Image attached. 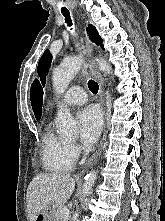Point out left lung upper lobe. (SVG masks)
Listing matches in <instances>:
<instances>
[{
    "instance_id": "5c2ea615",
    "label": "left lung upper lobe",
    "mask_w": 165,
    "mask_h": 221,
    "mask_svg": "<svg viewBox=\"0 0 165 221\" xmlns=\"http://www.w3.org/2000/svg\"><path fill=\"white\" fill-rule=\"evenodd\" d=\"M87 32L89 33V36L93 42H95L97 45H101L102 39L99 36L95 27L89 25L87 27ZM51 60L52 55L50 54L49 50H46L38 63V74L40 76V81L43 86L45 85L46 75L48 73ZM30 99L35 117L37 120H39L42 115L43 89L38 80H35L31 86Z\"/></svg>"
}]
</instances>
